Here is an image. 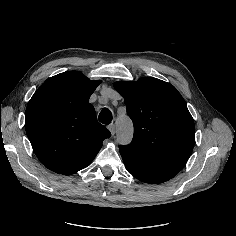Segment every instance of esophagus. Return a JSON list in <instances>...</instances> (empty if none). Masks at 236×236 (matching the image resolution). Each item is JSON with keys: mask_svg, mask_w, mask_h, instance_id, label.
I'll return each instance as SVG.
<instances>
[{"mask_svg": "<svg viewBox=\"0 0 236 236\" xmlns=\"http://www.w3.org/2000/svg\"><path fill=\"white\" fill-rule=\"evenodd\" d=\"M108 129H109V131L111 132L112 135H115L116 127H115L114 124H110V125L108 126Z\"/></svg>", "mask_w": 236, "mask_h": 236, "instance_id": "esophagus-1", "label": "esophagus"}]
</instances>
